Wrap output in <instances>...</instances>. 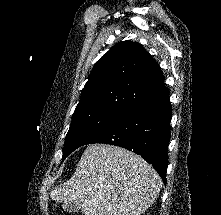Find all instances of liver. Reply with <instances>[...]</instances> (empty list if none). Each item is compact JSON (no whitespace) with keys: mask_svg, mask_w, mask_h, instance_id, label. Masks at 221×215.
<instances>
[{"mask_svg":"<svg viewBox=\"0 0 221 215\" xmlns=\"http://www.w3.org/2000/svg\"><path fill=\"white\" fill-rule=\"evenodd\" d=\"M162 181L139 155L107 144L88 145L74 175L53 188L57 202L80 203L85 215H141L155 201Z\"/></svg>","mask_w":221,"mask_h":215,"instance_id":"liver-1","label":"liver"}]
</instances>
